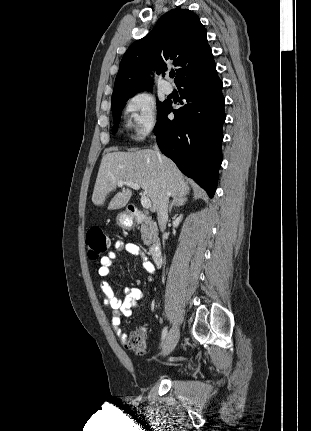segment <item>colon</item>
I'll list each match as a JSON object with an SVG mask.
<instances>
[{"label": "colon", "mask_w": 311, "mask_h": 431, "mask_svg": "<svg viewBox=\"0 0 311 431\" xmlns=\"http://www.w3.org/2000/svg\"><path fill=\"white\" fill-rule=\"evenodd\" d=\"M88 257L91 260H98L108 251L110 247L109 237L101 229H91L86 238ZM147 332L144 328L133 330L127 337L125 347L137 355H143L147 351Z\"/></svg>", "instance_id": "5ec220e1"}]
</instances>
